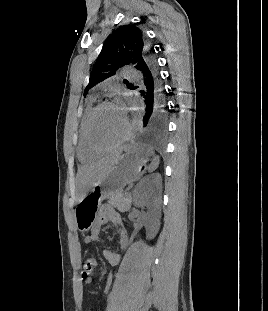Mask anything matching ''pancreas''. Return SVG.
<instances>
[{
    "mask_svg": "<svg viewBox=\"0 0 268 311\" xmlns=\"http://www.w3.org/2000/svg\"><path fill=\"white\" fill-rule=\"evenodd\" d=\"M131 196L130 194L123 193L122 191L113 194L109 198V204L120 212H128L131 208Z\"/></svg>",
    "mask_w": 268,
    "mask_h": 311,
    "instance_id": "1",
    "label": "pancreas"
}]
</instances>
